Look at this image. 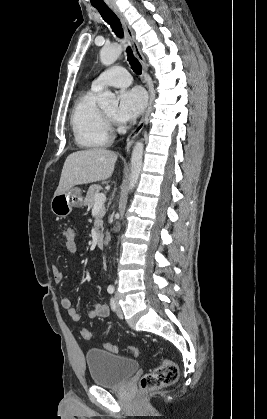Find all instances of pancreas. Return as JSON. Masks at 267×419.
Instances as JSON below:
<instances>
[{
	"mask_svg": "<svg viewBox=\"0 0 267 419\" xmlns=\"http://www.w3.org/2000/svg\"><path fill=\"white\" fill-rule=\"evenodd\" d=\"M101 186L94 184L89 187L87 195L84 199V204L88 207V210L92 209L95 205V195L99 194ZM105 215L104 206L100 209L99 213L95 216V229L99 232L102 227V218Z\"/></svg>",
	"mask_w": 267,
	"mask_h": 419,
	"instance_id": "obj_1",
	"label": "pancreas"
}]
</instances>
